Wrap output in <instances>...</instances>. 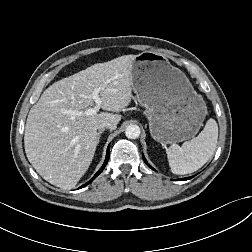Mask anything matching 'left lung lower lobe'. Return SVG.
Listing matches in <instances>:
<instances>
[{
    "mask_svg": "<svg viewBox=\"0 0 252 252\" xmlns=\"http://www.w3.org/2000/svg\"><path fill=\"white\" fill-rule=\"evenodd\" d=\"M143 160L145 163H147L145 157L143 156ZM151 167V166H150ZM152 168V167H151ZM153 169V168H152ZM192 177H187V178H182V179H179V180H188V179H191Z\"/></svg>",
    "mask_w": 252,
    "mask_h": 252,
    "instance_id": "1",
    "label": "left lung lower lobe"
}]
</instances>
